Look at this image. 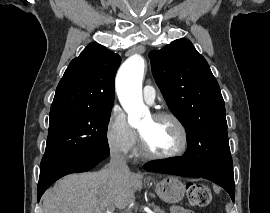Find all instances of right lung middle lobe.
<instances>
[{
	"instance_id": "right-lung-middle-lobe-1",
	"label": "right lung middle lobe",
	"mask_w": 270,
	"mask_h": 213,
	"mask_svg": "<svg viewBox=\"0 0 270 213\" xmlns=\"http://www.w3.org/2000/svg\"><path fill=\"white\" fill-rule=\"evenodd\" d=\"M110 115L111 110L50 111L46 150L41 162L109 151L106 133Z\"/></svg>"
}]
</instances>
